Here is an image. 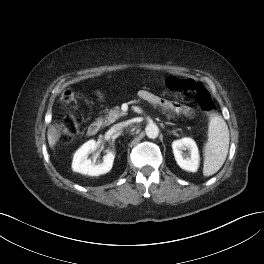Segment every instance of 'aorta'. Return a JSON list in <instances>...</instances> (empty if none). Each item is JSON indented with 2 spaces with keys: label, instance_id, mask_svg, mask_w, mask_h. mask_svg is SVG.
Returning <instances> with one entry per match:
<instances>
[{
  "label": "aorta",
  "instance_id": "aorta-1",
  "mask_svg": "<svg viewBox=\"0 0 264 264\" xmlns=\"http://www.w3.org/2000/svg\"><path fill=\"white\" fill-rule=\"evenodd\" d=\"M145 132L148 138L155 139L159 135V128L156 124H148L145 128Z\"/></svg>",
  "mask_w": 264,
  "mask_h": 264
}]
</instances>
